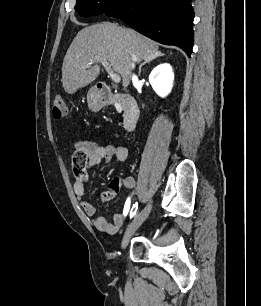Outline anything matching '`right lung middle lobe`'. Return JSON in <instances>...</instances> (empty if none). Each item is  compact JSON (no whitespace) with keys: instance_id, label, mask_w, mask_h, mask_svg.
Returning <instances> with one entry per match:
<instances>
[{"instance_id":"obj_1","label":"right lung middle lobe","mask_w":261,"mask_h":306,"mask_svg":"<svg viewBox=\"0 0 261 306\" xmlns=\"http://www.w3.org/2000/svg\"><path fill=\"white\" fill-rule=\"evenodd\" d=\"M128 0H77L75 10L83 17L109 12Z\"/></svg>"}]
</instances>
